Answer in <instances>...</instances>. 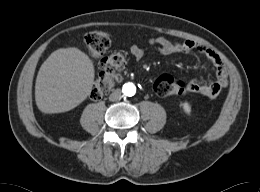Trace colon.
<instances>
[{
    "label": "colon",
    "mask_w": 260,
    "mask_h": 192,
    "mask_svg": "<svg viewBox=\"0 0 260 192\" xmlns=\"http://www.w3.org/2000/svg\"><path fill=\"white\" fill-rule=\"evenodd\" d=\"M85 43L90 55L94 58H101L111 45V38L108 33L101 30H91L85 36ZM127 65V58L122 52H114L101 59V72L96 79L91 98L101 99L114 86L120 78L121 71ZM187 87L183 81L176 80L168 74L160 75L153 84L154 92L161 97L180 95Z\"/></svg>",
    "instance_id": "colon-1"
}]
</instances>
